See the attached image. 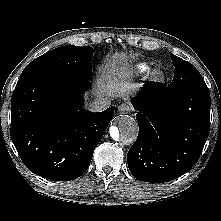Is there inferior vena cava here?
Masks as SVG:
<instances>
[{
	"instance_id": "obj_1",
	"label": "inferior vena cava",
	"mask_w": 221,
	"mask_h": 221,
	"mask_svg": "<svg viewBox=\"0 0 221 221\" xmlns=\"http://www.w3.org/2000/svg\"><path fill=\"white\" fill-rule=\"evenodd\" d=\"M111 104L108 98H99L89 104V110L92 112H100L107 109Z\"/></svg>"
}]
</instances>
